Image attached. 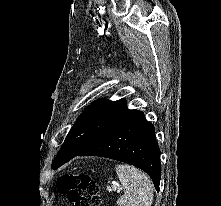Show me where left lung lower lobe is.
I'll return each mask as SVG.
<instances>
[{"label":"left lung lower lobe","mask_w":221,"mask_h":206,"mask_svg":"<svg viewBox=\"0 0 221 206\" xmlns=\"http://www.w3.org/2000/svg\"><path fill=\"white\" fill-rule=\"evenodd\" d=\"M74 156H101L134 165L150 175L159 191L160 150L154 126L141 111L126 109Z\"/></svg>","instance_id":"1"}]
</instances>
